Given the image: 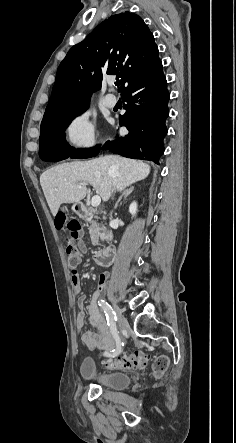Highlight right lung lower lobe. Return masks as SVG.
<instances>
[{
	"label": "right lung lower lobe",
	"instance_id": "right-lung-lower-lobe-1",
	"mask_svg": "<svg viewBox=\"0 0 236 443\" xmlns=\"http://www.w3.org/2000/svg\"><path fill=\"white\" fill-rule=\"evenodd\" d=\"M121 92L127 105L125 114L120 116V126H125L129 134L87 150H75L68 144L46 147L40 150V158L52 162L69 157L82 159L96 156L100 149H109L125 157L159 164L164 152L163 138L167 134L165 120L169 115V93L161 60L134 78Z\"/></svg>",
	"mask_w": 236,
	"mask_h": 443
}]
</instances>
